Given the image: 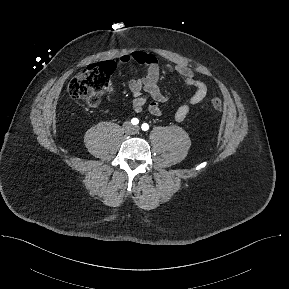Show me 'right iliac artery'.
Returning <instances> with one entry per match:
<instances>
[{
  "instance_id": "right-iliac-artery-1",
  "label": "right iliac artery",
  "mask_w": 289,
  "mask_h": 289,
  "mask_svg": "<svg viewBox=\"0 0 289 289\" xmlns=\"http://www.w3.org/2000/svg\"><path fill=\"white\" fill-rule=\"evenodd\" d=\"M131 123H132L133 125H137V124L139 123V120H138L137 118H133V119L131 120Z\"/></svg>"
}]
</instances>
